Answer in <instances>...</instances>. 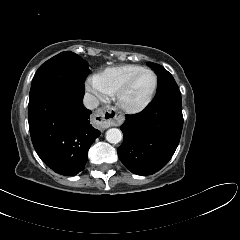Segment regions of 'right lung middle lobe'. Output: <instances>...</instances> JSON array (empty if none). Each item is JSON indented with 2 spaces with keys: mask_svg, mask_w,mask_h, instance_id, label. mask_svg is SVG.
<instances>
[{
  "mask_svg": "<svg viewBox=\"0 0 240 240\" xmlns=\"http://www.w3.org/2000/svg\"><path fill=\"white\" fill-rule=\"evenodd\" d=\"M89 71L88 63L73 52L65 51L52 57L34 75L29 104L56 89L85 91L84 80Z\"/></svg>",
  "mask_w": 240,
  "mask_h": 240,
  "instance_id": "right-lung-middle-lobe-1",
  "label": "right lung middle lobe"
}]
</instances>
